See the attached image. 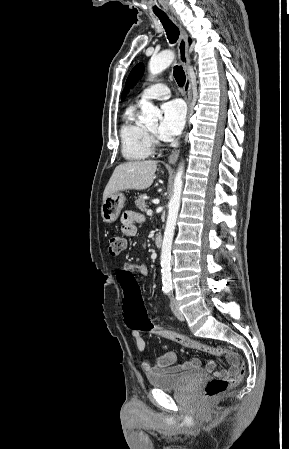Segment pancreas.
<instances>
[{
    "instance_id": "1",
    "label": "pancreas",
    "mask_w": 289,
    "mask_h": 449,
    "mask_svg": "<svg viewBox=\"0 0 289 449\" xmlns=\"http://www.w3.org/2000/svg\"><path fill=\"white\" fill-rule=\"evenodd\" d=\"M146 198H147L146 195H140L139 198L135 201L136 207L141 211L147 210Z\"/></svg>"
}]
</instances>
